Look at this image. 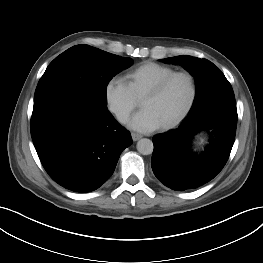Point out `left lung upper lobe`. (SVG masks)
Wrapping results in <instances>:
<instances>
[{
    "instance_id": "left-lung-upper-lobe-1",
    "label": "left lung upper lobe",
    "mask_w": 263,
    "mask_h": 263,
    "mask_svg": "<svg viewBox=\"0 0 263 263\" xmlns=\"http://www.w3.org/2000/svg\"><path fill=\"white\" fill-rule=\"evenodd\" d=\"M163 61L180 64L195 77L197 90L190 112L200 109L215 99L235 98L233 89L224 74L209 60L183 55L166 58Z\"/></svg>"
}]
</instances>
